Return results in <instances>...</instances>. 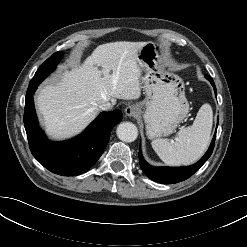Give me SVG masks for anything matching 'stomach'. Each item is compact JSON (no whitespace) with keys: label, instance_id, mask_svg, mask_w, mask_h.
Listing matches in <instances>:
<instances>
[{"label":"stomach","instance_id":"0dacf381","mask_svg":"<svg viewBox=\"0 0 247 247\" xmlns=\"http://www.w3.org/2000/svg\"><path fill=\"white\" fill-rule=\"evenodd\" d=\"M162 58L163 47L156 42H146L138 52V59L144 64L146 72L142 80L146 97L138 108L149 139L173 133L189 112L184 82L164 68Z\"/></svg>","mask_w":247,"mask_h":247}]
</instances>
